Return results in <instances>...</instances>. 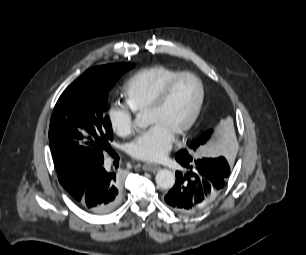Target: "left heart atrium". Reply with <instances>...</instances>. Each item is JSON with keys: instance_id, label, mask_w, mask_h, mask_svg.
Masks as SVG:
<instances>
[{"instance_id": "1", "label": "left heart atrium", "mask_w": 306, "mask_h": 255, "mask_svg": "<svg viewBox=\"0 0 306 255\" xmlns=\"http://www.w3.org/2000/svg\"><path fill=\"white\" fill-rule=\"evenodd\" d=\"M174 135L160 124H153L128 148L129 154L142 161H159L170 151Z\"/></svg>"}]
</instances>
